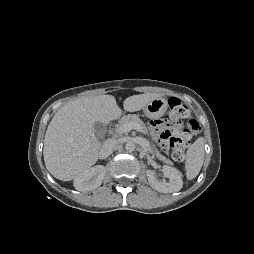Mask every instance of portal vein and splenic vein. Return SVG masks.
I'll use <instances>...</instances> for the list:
<instances>
[{"mask_svg": "<svg viewBox=\"0 0 254 254\" xmlns=\"http://www.w3.org/2000/svg\"><path fill=\"white\" fill-rule=\"evenodd\" d=\"M132 129L143 132L142 128L137 123H127L120 127L119 133L124 134L130 132Z\"/></svg>", "mask_w": 254, "mask_h": 254, "instance_id": "18ae733b", "label": "portal vein and splenic vein"}]
</instances>
